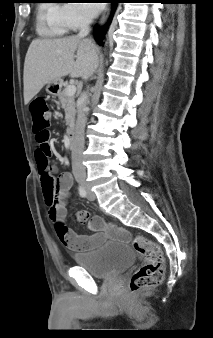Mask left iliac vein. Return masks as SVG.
Returning a JSON list of instances; mask_svg holds the SVG:
<instances>
[{
  "mask_svg": "<svg viewBox=\"0 0 213 338\" xmlns=\"http://www.w3.org/2000/svg\"><path fill=\"white\" fill-rule=\"evenodd\" d=\"M86 191H87V198L91 201L95 200L96 196L95 194L90 190L88 185H84Z\"/></svg>",
  "mask_w": 213,
  "mask_h": 338,
  "instance_id": "4c4485c4",
  "label": "left iliac vein"
}]
</instances>
